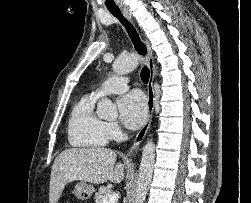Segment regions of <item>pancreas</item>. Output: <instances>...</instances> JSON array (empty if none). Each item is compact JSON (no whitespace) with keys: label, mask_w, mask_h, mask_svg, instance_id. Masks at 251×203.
Here are the masks:
<instances>
[{"label":"pancreas","mask_w":251,"mask_h":203,"mask_svg":"<svg viewBox=\"0 0 251 203\" xmlns=\"http://www.w3.org/2000/svg\"><path fill=\"white\" fill-rule=\"evenodd\" d=\"M112 194V191L109 187L101 186L95 194V203H103L104 198Z\"/></svg>","instance_id":"cf45deb5"}]
</instances>
